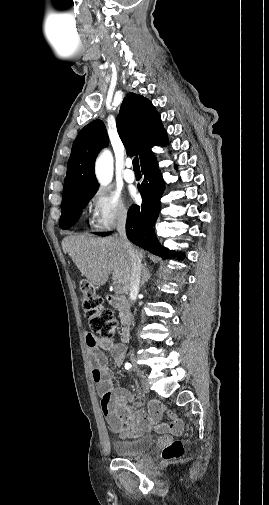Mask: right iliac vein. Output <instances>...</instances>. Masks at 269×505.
Wrapping results in <instances>:
<instances>
[{"instance_id": "right-iliac-vein-1", "label": "right iliac vein", "mask_w": 269, "mask_h": 505, "mask_svg": "<svg viewBox=\"0 0 269 505\" xmlns=\"http://www.w3.org/2000/svg\"><path fill=\"white\" fill-rule=\"evenodd\" d=\"M131 361L135 367V369L137 370V373L139 374L140 376V379H141V382H142V389L144 391H147L149 389V386L150 385V382H148V379H147V376L145 374H143V371H141L138 366L136 365L135 363V358H131Z\"/></svg>"}]
</instances>
